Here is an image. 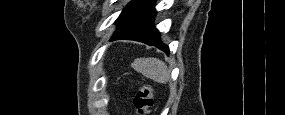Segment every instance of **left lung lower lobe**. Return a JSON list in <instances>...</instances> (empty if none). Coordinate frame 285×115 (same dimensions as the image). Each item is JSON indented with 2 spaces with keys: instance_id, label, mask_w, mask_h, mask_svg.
Listing matches in <instances>:
<instances>
[{
  "instance_id": "obj_1",
  "label": "left lung lower lobe",
  "mask_w": 285,
  "mask_h": 115,
  "mask_svg": "<svg viewBox=\"0 0 285 115\" xmlns=\"http://www.w3.org/2000/svg\"><path fill=\"white\" fill-rule=\"evenodd\" d=\"M154 0H133L116 20L117 29L111 40L128 39L156 46L169 53V47L161 42L160 33L153 25L156 15Z\"/></svg>"
}]
</instances>
